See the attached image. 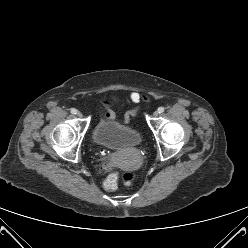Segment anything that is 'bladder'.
I'll list each match as a JSON object with an SVG mask.
<instances>
[{"mask_svg": "<svg viewBox=\"0 0 248 248\" xmlns=\"http://www.w3.org/2000/svg\"><path fill=\"white\" fill-rule=\"evenodd\" d=\"M92 139L99 146L117 150L138 146L142 141V135L132 127L105 119L94 127Z\"/></svg>", "mask_w": 248, "mask_h": 248, "instance_id": "obj_1", "label": "bladder"}]
</instances>
